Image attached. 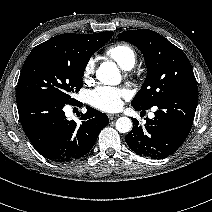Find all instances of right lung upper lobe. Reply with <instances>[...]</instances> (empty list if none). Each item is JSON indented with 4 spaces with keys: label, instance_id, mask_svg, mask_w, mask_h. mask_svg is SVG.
Here are the masks:
<instances>
[{
    "label": "right lung upper lobe",
    "instance_id": "right-lung-upper-lobe-1",
    "mask_svg": "<svg viewBox=\"0 0 212 212\" xmlns=\"http://www.w3.org/2000/svg\"><path fill=\"white\" fill-rule=\"evenodd\" d=\"M94 34H73L66 33L55 36L38 46H36L32 51H42V52H51V53H62L67 51L69 43L76 38L80 37H89Z\"/></svg>",
    "mask_w": 212,
    "mask_h": 212
}]
</instances>
